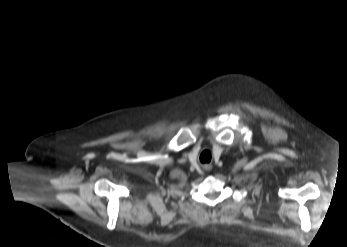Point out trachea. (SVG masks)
I'll return each instance as SVG.
<instances>
[{
  "mask_svg": "<svg viewBox=\"0 0 347 247\" xmlns=\"http://www.w3.org/2000/svg\"><path fill=\"white\" fill-rule=\"evenodd\" d=\"M200 158L201 159H206V161H210L211 160V154H210V152L209 151H203L202 153H201V156H200Z\"/></svg>",
  "mask_w": 347,
  "mask_h": 247,
  "instance_id": "trachea-1",
  "label": "trachea"
}]
</instances>
